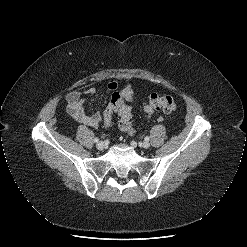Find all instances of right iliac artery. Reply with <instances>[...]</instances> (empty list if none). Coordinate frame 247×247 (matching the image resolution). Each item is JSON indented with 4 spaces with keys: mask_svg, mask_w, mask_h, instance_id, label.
<instances>
[{
    "mask_svg": "<svg viewBox=\"0 0 247 247\" xmlns=\"http://www.w3.org/2000/svg\"><path fill=\"white\" fill-rule=\"evenodd\" d=\"M98 141H99V139H98V138H94V142H96V143H97Z\"/></svg>",
    "mask_w": 247,
    "mask_h": 247,
    "instance_id": "1",
    "label": "right iliac artery"
}]
</instances>
